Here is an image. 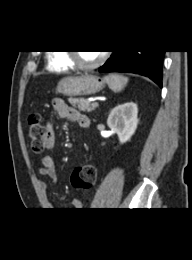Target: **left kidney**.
<instances>
[{"label": "left kidney", "mask_w": 192, "mask_h": 260, "mask_svg": "<svg viewBox=\"0 0 192 260\" xmlns=\"http://www.w3.org/2000/svg\"><path fill=\"white\" fill-rule=\"evenodd\" d=\"M138 107L133 102L116 106L110 112L107 125L114 131L121 144L126 143L134 135L138 125Z\"/></svg>", "instance_id": "5707ae66"}]
</instances>
